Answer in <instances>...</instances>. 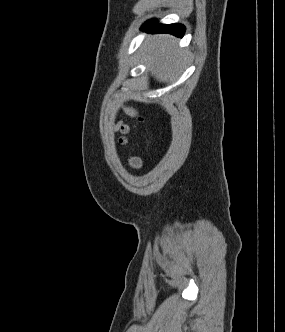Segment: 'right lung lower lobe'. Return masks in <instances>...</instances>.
Instances as JSON below:
<instances>
[{
    "label": "right lung lower lobe",
    "mask_w": 285,
    "mask_h": 332,
    "mask_svg": "<svg viewBox=\"0 0 285 332\" xmlns=\"http://www.w3.org/2000/svg\"><path fill=\"white\" fill-rule=\"evenodd\" d=\"M142 30L149 33H169L177 37H182L185 32V27L181 24H157L156 20H151L143 25Z\"/></svg>",
    "instance_id": "98d812e1"
}]
</instances>
